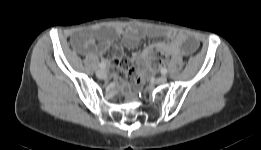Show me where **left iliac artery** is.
Wrapping results in <instances>:
<instances>
[{
    "instance_id": "44dca946",
    "label": "left iliac artery",
    "mask_w": 261,
    "mask_h": 150,
    "mask_svg": "<svg viewBox=\"0 0 261 150\" xmlns=\"http://www.w3.org/2000/svg\"><path fill=\"white\" fill-rule=\"evenodd\" d=\"M161 73H162L163 75L167 74V69H166V68H162V69H161Z\"/></svg>"
}]
</instances>
